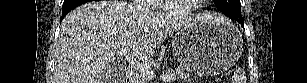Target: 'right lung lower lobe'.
I'll return each mask as SVG.
<instances>
[{
    "mask_svg": "<svg viewBox=\"0 0 307 83\" xmlns=\"http://www.w3.org/2000/svg\"><path fill=\"white\" fill-rule=\"evenodd\" d=\"M88 2V0H65L62 8V17L61 20L65 15L68 14L73 8L83 3Z\"/></svg>",
    "mask_w": 307,
    "mask_h": 83,
    "instance_id": "1",
    "label": "right lung lower lobe"
}]
</instances>
